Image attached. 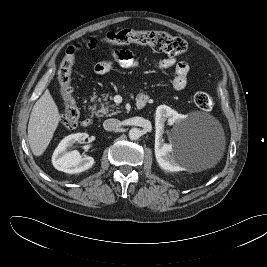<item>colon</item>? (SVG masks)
<instances>
[{"mask_svg": "<svg viewBox=\"0 0 267 267\" xmlns=\"http://www.w3.org/2000/svg\"><path fill=\"white\" fill-rule=\"evenodd\" d=\"M103 42L111 44H143L150 46L157 52H165L170 56L184 55L188 50L187 42L184 39L172 36L161 30L138 31L134 29H124L108 33L103 39ZM85 44L86 42L80 45L70 46L66 50V55L58 71V84L64 104L61 122L67 129L75 128L79 121L80 111L73 96L72 68L75 62L76 52L85 47ZM194 103L199 109L209 111L213 108L214 100L209 93L198 92L194 96Z\"/></svg>", "mask_w": 267, "mask_h": 267, "instance_id": "colon-1", "label": "colon"}]
</instances>
